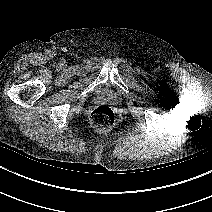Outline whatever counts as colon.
<instances>
[{
	"label": "colon",
	"mask_w": 212,
	"mask_h": 212,
	"mask_svg": "<svg viewBox=\"0 0 212 212\" xmlns=\"http://www.w3.org/2000/svg\"><path fill=\"white\" fill-rule=\"evenodd\" d=\"M90 121L95 128L106 130L114 124L115 113L111 107L100 105L91 112Z\"/></svg>",
	"instance_id": "5ec220e1"
}]
</instances>
